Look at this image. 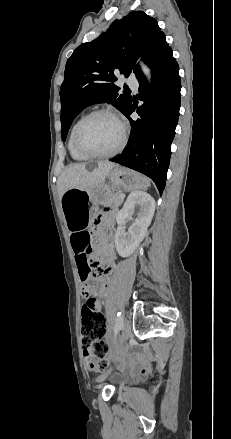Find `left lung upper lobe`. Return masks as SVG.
Wrapping results in <instances>:
<instances>
[{"mask_svg":"<svg viewBox=\"0 0 231 439\" xmlns=\"http://www.w3.org/2000/svg\"><path fill=\"white\" fill-rule=\"evenodd\" d=\"M168 47L157 21L143 11L115 20L98 38L78 46L67 60L60 88L62 139L74 118L92 104L106 102L124 114L132 97L118 93L114 73L128 77L133 72L139 79L143 73L135 58L151 67Z\"/></svg>","mask_w":231,"mask_h":439,"instance_id":"obj_1","label":"left lung upper lobe"}]
</instances>
